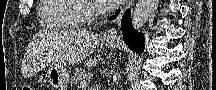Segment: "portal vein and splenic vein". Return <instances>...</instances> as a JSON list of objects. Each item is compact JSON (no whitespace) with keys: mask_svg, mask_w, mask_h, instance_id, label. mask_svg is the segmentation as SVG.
<instances>
[{"mask_svg":"<svg viewBox=\"0 0 216 90\" xmlns=\"http://www.w3.org/2000/svg\"><path fill=\"white\" fill-rule=\"evenodd\" d=\"M85 86H87V84H83V82H82V88H85Z\"/></svg>","mask_w":216,"mask_h":90,"instance_id":"18ae733b","label":"portal vein and splenic vein"}]
</instances>
